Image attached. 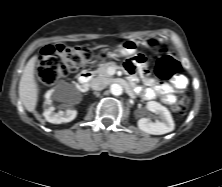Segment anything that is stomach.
<instances>
[{
  "instance_id": "obj_1",
  "label": "stomach",
  "mask_w": 222,
  "mask_h": 187,
  "mask_svg": "<svg viewBox=\"0 0 222 187\" xmlns=\"http://www.w3.org/2000/svg\"><path fill=\"white\" fill-rule=\"evenodd\" d=\"M163 42V38L161 37H151L148 41V44L150 46H157L159 44H161ZM139 43L138 41H136L135 39H127L124 42H122L117 50L115 51V53H110V52H101L100 53V58L105 59V58H110V57H114V56H130L133 55L137 52Z\"/></svg>"
}]
</instances>
